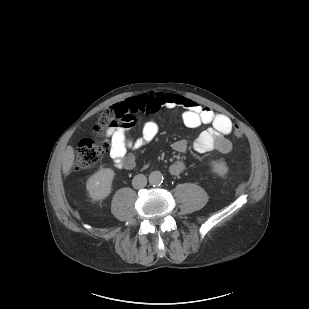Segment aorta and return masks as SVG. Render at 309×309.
Returning <instances> with one entry per match:
<instances>
[{
  "mask_svg": "<svg viewBox=\"0 0 309 309\" xmlns=\"http://www.w3.org/2000/svg\"><path fill=\"white\" fill-rule=\"evenodd\" d=\"M163 182V175L160 171H153L149 174V183L153 186L161 185Z\"/></svg>",
  "mask_w": 309,
  "mask_h": 309,
  "instance_id": "762f6f07",
  "label": "aorta"
}]
</instances>
